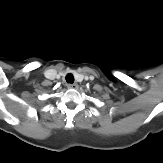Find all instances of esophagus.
<instances>
[{"label":"esophagus","instance_id":"esophagus-1","mask_svg":"<svg viewBox=\"0 0 163 163\" xmlns=\"http://www.w3.org/2000/svg\"><path fill=\"white\" fill-rule=\"evenodd\" d=\"M67 87H68L69 89H77V88H78V84H77V83L68 84Z\"/></svg>","mask_w":163,"mask_h":163}]
</instances>
